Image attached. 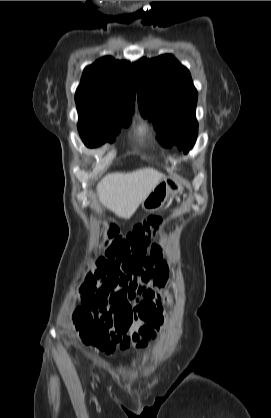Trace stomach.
<instances>
[{
  "instance_id": "stomach-1",
  "label": "stomach",
  "mask_w": 271,
  "mask_h": 418,
  "mask_svg": "<svg viewBox=\"0 0 271 418\" xmlns=\"http://www.w3.org/2000/svg\"><path fill=\"white\" fill-rule=\"evenodd\" d=\"M182 189V185L178 181L165 177L142 201V208L147 212L158 211L163 208L171 195L180 192Z\"/></svg>"
}]
</instances>
